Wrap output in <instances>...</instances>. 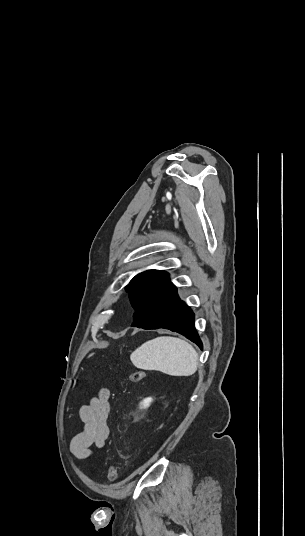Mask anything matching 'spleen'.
<instances>
[{"instance_id": "obj_1", "label": "spleen", "mask_w": 305, "mask_h": 536, "mask_svg": "<svg viewBox=\"0 0 305 536\" xmlns=\"http://www.w3.org/2000/svg\"><path fill=\"white\" fill-rule=\"evenodd\" d=\"M130 360L139 370H158L168 376H192L198 368V354L191 344L161 336L132 352Z\"/></svg>"}]
</instances>
